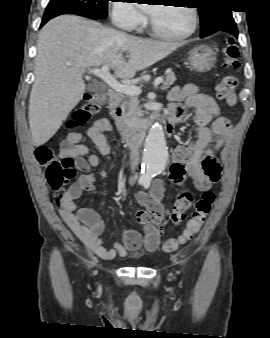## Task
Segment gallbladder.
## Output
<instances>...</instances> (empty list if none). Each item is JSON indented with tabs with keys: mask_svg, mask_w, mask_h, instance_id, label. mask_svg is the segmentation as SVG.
Masks as SVG:
<instances>
[{
	"mask_svg": "<svg viewBox=\"0 0 270 338\" xmlns=\"http://www.w3.org/2000/svg\"><path fill=\"white\" fill-rule=\"evenodd\" d=\"M88 90L90 92H102L104 91V87L97 83H91L88 85Z\"/></svg>",
	"mask_w": 270,
	"mask_h": 338,
	"instance_id": "bac80fb5",
	"label": "gallbladder"
}]
</instances>
